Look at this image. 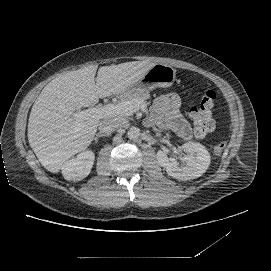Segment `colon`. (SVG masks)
I'll use <instances>...</instances> for the list:
<instances>
[{
  "mask_svg": "<svg viewBox=\"0 0 271 271\" xmlns=\"http://www.w3.org/2000/svg\"><path fill=\"white\" fill-rule=\"evenodd\" d=\"M216 94L212 90L204 91L198 98L197 104L190 110V118L193 123L195 134L198 137H204L213 132L216 128V122L212 116V108L215 102ZM226 148V142L218 143L214 151L220 155Z\"/></svg>",
  "mask_w": 271,
  "mask_h": 271,
  "instance_id": "5ec220e1",
  "label": "colon"
}]
</instances>
